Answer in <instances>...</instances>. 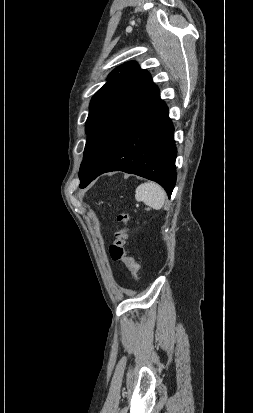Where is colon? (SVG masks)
<instances>
[{"mask_svg": "<svg viewBox=\"0 0 253 413\" xmlns=\"http://www.w3.org/2000/svg\"><path fill=\"white\" fill-rule=\"evenodd\" d=\"M117 221L122 224V227L116 232L115 240L109 247L110 257L114 261L123 262L129 269L134 280L139 281L140 265L135 261L134 258L127 255L124 248L128 239V214L124 211H120L117 215Z\"/></svg>", "mask_w": 253, "mask_h": 413, "instance_id": "colon-1", "label": "colon"}]
</instances>
